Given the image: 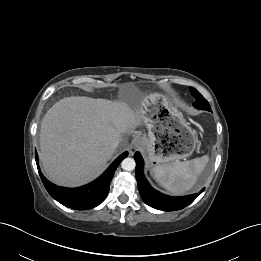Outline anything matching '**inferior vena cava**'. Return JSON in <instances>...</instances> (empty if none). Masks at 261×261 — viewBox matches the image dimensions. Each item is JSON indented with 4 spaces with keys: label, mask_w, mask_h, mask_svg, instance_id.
Listing matches in <instances>:
<instances>
[{
    "label": "inferior vena cava",
    "mask_w": 261,
    "mask_h": 261,
    "mask_svg": "<svg viewBox=\"0 0 261 261\" xmlns=\"http://www.w3.org/2000/svg\"><path fill=\"white\" fill-rule=\"evenodd\" d=\"M119 145V140H116L115 142L112 143L113 148H117Z\"/></svg>",
    "instance_id": "602c4592"
}]
</instances>
